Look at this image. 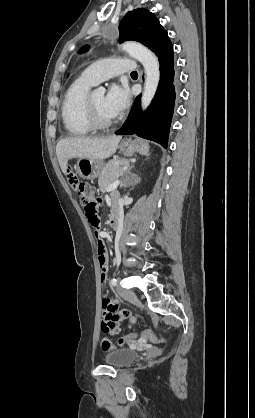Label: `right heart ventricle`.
Segmentation results:
<instances>
[{"mask_svg": "<svg viewBox=\"0 0 255 418\" xmlns=\"http://www.w3.org/2000/svg\"><path fill=\"white\" fill-rule=\"evenodd\" d=\"M93 86L92 82L80 76L65 93L61 116L66 131L72 136H85L93 131L86 115V99Z\"/></svg>", "mask_w": 255, "mask_h": 418, "instance_id": "right-heart-ventricle-1", "label": "right heart ventricle"}]
</instances>
